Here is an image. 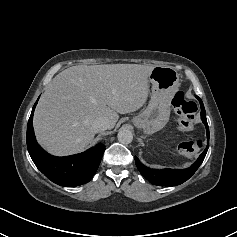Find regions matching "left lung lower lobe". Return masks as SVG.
<instances>
[{"label":"left lung lower lobe","instance_id":"1","mask_svg":"<svg viewBox=\"0 0 237 237\" xmlns=\"http://www.w3.org/2000/svg\"><path fill=\"white\" fill-rule=\"evenodd\" d=\"M197 99L200 102L201 119L203 123L205 124L206 130H207V139L209 141V128L207 124L205 108L201 99L199 97H197ZM208 147H209V144H207L205 150L202 152V154L199 156L196 162L188 169H163V170L150 169L144 166L137 157H135V162L140 173L150 183L154 185L166 186V187L175 186V185L182 184L195 173V171L202 164L206 156V153L208 151Z\"/></svg>","mask_w":237,"mask_h":237}]
</instances>
